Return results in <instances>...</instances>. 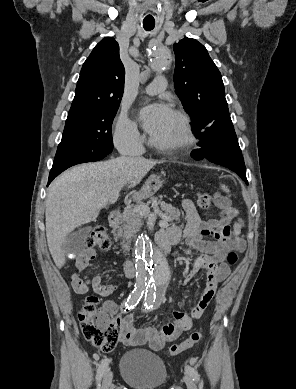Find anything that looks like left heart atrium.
<instances>
[{
	"label": "left heart atrium",
	"mask_w": 296,
	"mask_h": 389,
	"mask_svg": "<svg viewBox=\"0 0 296 389\" xmlns=\"http://www.w3.org/2000/svg\"><path fill=\"white\" fill-rule=\"evenodd\" d=\"M171 113L165 104H153L140 111V120L144 129L153 136L162 128Z\"/></svg>",
	"instance_id": "obj_1"
}]
</instances>
